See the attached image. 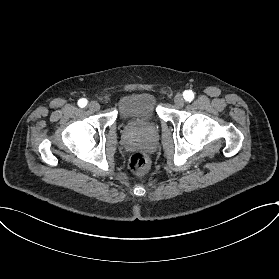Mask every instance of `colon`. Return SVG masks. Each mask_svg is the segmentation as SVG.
<instances>
[{
  "label": "colon",
  "instance_id": "5ec220e1",
  "mask_svg": "<svg viewBox=\"0 0 279 279\" xmlns=\"http://www.w3.org/2000/svg\"><path fill=\"white\" fill-rule=\"evenodd\" d=\"M149 168V159L142 153H134L128 161V169L139 174L145 172Z\"/></svg>",
  "mask_w": 279,
  "mask_h": 279
}]
</instances>
